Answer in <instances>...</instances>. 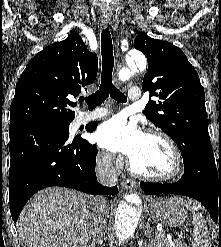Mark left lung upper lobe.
<instances>
[{
	"label": "left lung upper lobe",
	"instance_id": "obj_1",
	"mask_svg": "<svg viewBox=\"0 0 221 247\" xmlns=\"http://www.w3.org/2000/svg\"><path fill=\"white\" fill-rule=\"evenodd\" d=\"M134 47L148 61L142 89L150 91V96L143 114L168 134L186 157L210 142L205 93L199 76L185 54L167 41L140 34ZM152 96L158 100H150Z\"/></svg>",
	"mask_w": 221,
	"mask_h": 247
}]
</instances>
